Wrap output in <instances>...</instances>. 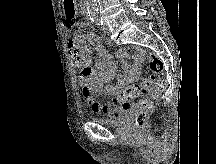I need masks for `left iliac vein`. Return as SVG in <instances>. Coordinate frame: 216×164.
<instances>
[{"label": "left iliac vein", "instance_id": "1", "mask_svg": "<svg viewBox=\"0 0 216 164\" xmlns=\"http://www.w3.org/2000/svg\"><path fill=\"white\" fill-rule=\"evenodd\" d=\"M102 30H103V32H104V34H109L110 33V30H109V27L107 26V25H104L103 27H102Z\"/></svg>", "mask_w": 216, "mask_h": 164}]
</instances>
